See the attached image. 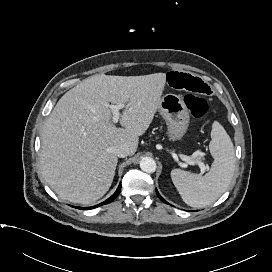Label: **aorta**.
<instances>
[{"label":"aorta","mask_w":272,"mask_h":272,"mask_svg":"<svg viewBox=\"0 0 272 272\" xmlns=\"http://www.w3.org/2000/svg\"><path fill=\"white\" fill-rule=\"evenodd\" d=\"M140 168L146 173H153L156 171V162L151 157H143L140 161Z\"/></svg>","instance_id":"762f6f07"}]
</instances>
